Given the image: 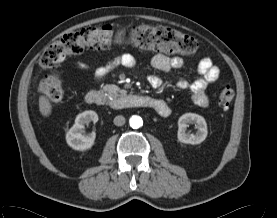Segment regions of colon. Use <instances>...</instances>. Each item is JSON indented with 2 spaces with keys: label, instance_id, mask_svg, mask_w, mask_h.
I'll return each instance as SVG.
<instances>
[{
  "label": "colon",
  "instance_id": "5ec220e1",
  "mask_svg": "<svg viewBox=\"0 0 277 218\" xmlns=\"http://www.w3.org/2000/svg\"><path fill=\"white\" fill-rule=\"evenodd\" d=\"M113 47H130L139 51H156L166 54H194L198 49L196 40L173 28L165 26L114 27L104 25L70 32L45 48L39 63L43 68H52L68 56L82 53L85 49L108 50ZM39 89L51 102L62 99L63 88L57 75H46ZM232 86L224 84L218 91V103L229 107L234 99Z\"/></svg>",
  "mask_w": 277,
  "mask_h": 218
}]
</instances>
